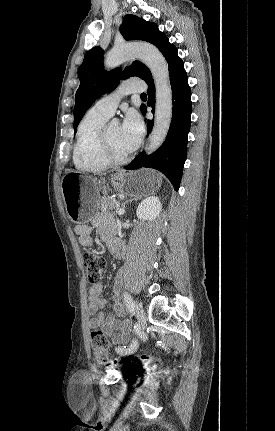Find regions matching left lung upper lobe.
<instances>
[{
  "label": "left lung upper lobe",
  "mask_w": 275,
  "mask_h": 431,
  "mask_svg": "<svg viewBox=\"0 0 275 431\" xmlns=\"http://www.w3.org/2000/svg\"><path fill=\"white\" fill-rule=\"evenodd\" d=\"M120 32L125 40H143L155 45L166 57L173 44L158 30L157 25L147 22L135 15H126L120 26ZM104 51L100 47L89 50L84 57L82 65L78 69L80 79L79 88L76 91L74 107V131H76L80 119L92 103L101 95L111 92L119 84V80L137 76L145 80L152 79L147 66L134 61L122 72L121 68L106 72L102 68ZM144 105L141 106V111Z\"/></svg>",
  "instance_id": "obj_1"
}]
</instances>
